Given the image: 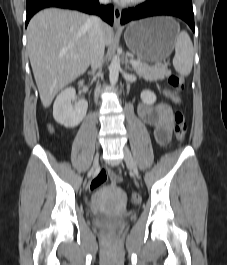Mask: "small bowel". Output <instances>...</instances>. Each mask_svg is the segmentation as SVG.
I'll list each match as a JSON object with an SVG mask.
<instances>
[{
    "instance_id": "obj_1",
    "label": "small bowel",
    "mask_w": 227,
    "mask_h": 265,
    "mask_svg": "<svg viewBox=\"0 0 227 265\" xmlns=\"http://www.w3.org/2000/svg\"><path fill=\"white\" fill-rule=\"evenodd\" d=\"M138 114L145 124L154 128L156 142L162 147L166 146L173 131L171 107L166 103L157 105L141 103L138 107ZM113 178L116 179L117 176L113 175Z\"/></svg>"
}]
</instances>
